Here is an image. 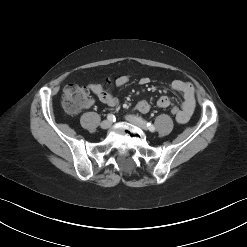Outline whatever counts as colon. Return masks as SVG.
<instances>
[{
  "mask_svg": "<svg viewBox=\"0 0 247 247\" xmlns=\"http://www.w3.org/2000/svg\"><path fill=\"white\" fill-rule=\"evenodd\" d=\"M88 102V94L84 87L78 85H69L64 89L62 96V105L64 109L71 114L79 112ZM170 113L175 118L178 117L180 109L172 107Z\"/></svg>",
  "mask_w": 247,
  "mask_h": 247,
  "instance_id": "obj_1",
  "label": "colon"
}]
</instances>
